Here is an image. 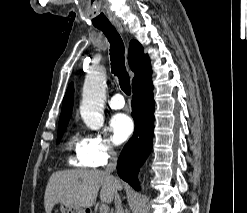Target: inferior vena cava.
<instances>
[{
  "mask_svg": "<svg viewBox=\"0 0 247 213\" xmlns=\"http://www.w3.org/2000/svg\"><path fill=\"white\" fill-rule=\"evenodd\" d=\"M108 152L110 156V161H109V164L107 165L106 172L110 174L116 169L117 153L112 148H110ZM114 180L116 183H118L117 178H114ZM114 203H115V213H124L122 204H121V198L119 194L117 193V191L115 192Z\"/></svg>",
  "mask_w": 247,
  "mask_h": 213,
  "instance_id": "inferior-vena-cava-1",
  "label": "inferior vena cava"
}]
</instances>
